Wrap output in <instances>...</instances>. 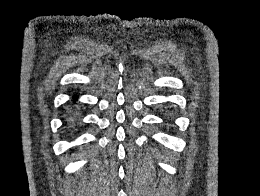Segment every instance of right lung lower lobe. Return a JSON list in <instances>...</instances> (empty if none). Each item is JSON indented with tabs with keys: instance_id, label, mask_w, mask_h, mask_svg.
I'll list each match as a JSON object with an SVG mask.
<instances>
[{
	"instance_id": "98d812e1",
	"label": "right lung lower lobe",
	"mask_w": 260,
	"mask_h": 196,
	"mask_svg": "<svg viewBox=\"0 0 260 196\" xmlns=\"http://www.w3.org/2000/svg\"><path fill=\"white\" fill-rule=\"evenodd\" d=\"M72 99H73V102L71 103V105H75L76 104L75 101H77V96L73 95Z\"/></svg>"
}]
</instances>
